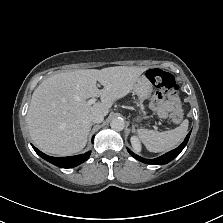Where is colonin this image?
<instances>
[{"mask_svg":"<svg viewBox=\"0 0 223 223\" xmlns=\"http://www.w3.org/2000/svg\"><path fill=\"white\" fill-rule=\"evenodd\" d=\"M148 79L162 89L167 95H176L178 93V86L175 82L174 77L161 69H151L147 72ZM183 120V113L180 109L175 110L171 117L170 123L179 124Z\"/></svg>","mask_w":223,"mask_h":223,"instance_id":"5ec220e1","label":"colon"}]
</instances>
